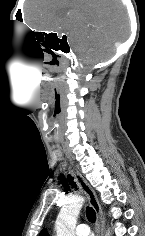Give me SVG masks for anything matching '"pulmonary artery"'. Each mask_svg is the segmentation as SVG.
I'll list each match as a JSON object with an SVG mask.
<instances>
[{"instance_id": "pulmonary-artery-1", "label": "pulmonary artery", "mask_w": 145, "mask_h": 236, "mask_svg": "<svg viewBox=\"0 0 145 236\" xmlns=\"http://www.w3.org/2000/svg\"><path fill=\"white\" fill-rule=\"evenodd\" d=\"M76 236H88L89 227L87 224H79L75 229Z\"/></svg>"}]
</instances>
